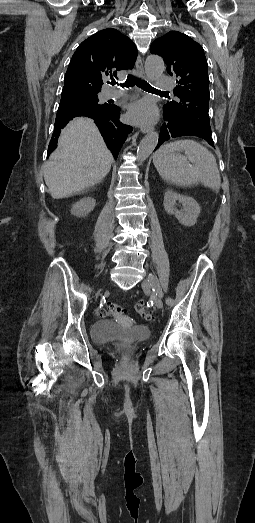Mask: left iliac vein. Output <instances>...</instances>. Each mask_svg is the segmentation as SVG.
Returning a JSON list of instances; mask_svg holds the SVG:
<instances>
[{"mask_svg":"<svg viewBox=\"0 0 255 523\" xmlns=\"http://www.w3.org/2000/svg\"><path fill=\"white\" fill-rule=\"evenodd\" d=\"M151 285H156L158 288L161 289L157 277L155 275H153V274H149L148 275V280H144L142 282V288H143V290L147 294L151 295V299L154 302L155 306L158 309H162L163 308V302H162L161 298L159 296H157V294L151 292Z\"/></svg>","mask_w":255,"mask_h":523,"instance_id":"obj_1","label":"left iliac vein"}]
</instances>
